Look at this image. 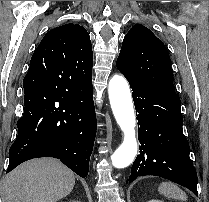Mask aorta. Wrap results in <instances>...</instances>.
<instances>
[{
    "instance_id": "762f6f07",
    "label": "aorta",
    "mask_w": 209,
    "mask_h": 202,
    "mask_svg": "<svg viewBox=\"0 0 209 202\" xmlns=\"http://www.w3.org/2000/svg\"><path fill=\"white\" fill-rule=\"evenodd\" d=\"M108 94L114 117L124 135L111 160L114 167L125 168L134 161L138 150L136 117L127 80L121 75H114L109 81Z\"/></svg>"
}]
</instances>
